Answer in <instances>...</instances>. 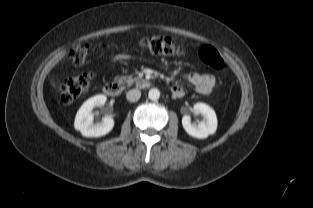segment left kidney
<instances>
[{"instance_id": "left-kidney-1", "label": "left kidney", "mask_w": 313, "mask_h": 208, "mask_svg": "<svg viewBox=\"0 0 313 208\" xmlns=\"http://www.w3.org/2000/svg\"><path fill=\"white\" fill-rule=\"evenodd\" d=\"M193 109L203 116V120L198 124L191 123L189 115H184L182 125L185 131L192 137L203 139L210 134H214L217 129V117L215 111L205 103H195Z\"/></svg>"}]
</instances>
